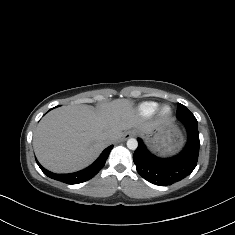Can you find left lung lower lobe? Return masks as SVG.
<instances>
[{
    "instance_id": "obj_1",
    "label": "left lung lower lobe",
    "mask_w": 235,
    "mask_h": 235,
    "mask_svg": "<svg viewBox=\"0 0 235 235\" xmlns=\"http://www.w3.org/2000/svg\"><path fill=\"white\" fill-rule=\"evenodd\" d=\"M186 127L188 140L186 147L171 158H158L146 149L140 138L134 152L133 161L137 172L147 181L157 185H171L190 175L196 167L199 155V132L196 118H180Z\"/></svg>"
}]
</instances>
